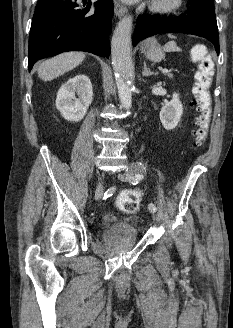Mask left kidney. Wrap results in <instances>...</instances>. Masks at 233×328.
<instances>
[{"label": "left kidney", "instance_id": "left-kidney-1", "mask_svg": "<svg viewBox=\"0 0 233 328\" xmlns=\"http://www.w3.org/2000/svg\"><path fill=\"white\" fill-rule=\"evenodd\" d=\"M183 114V105L179 100V95L173 93L172 100L166 103L160 111V121L166 130L176 128Z\"/></svg>", "mask_w": 233, "mask_h": 328}]
</instances>
